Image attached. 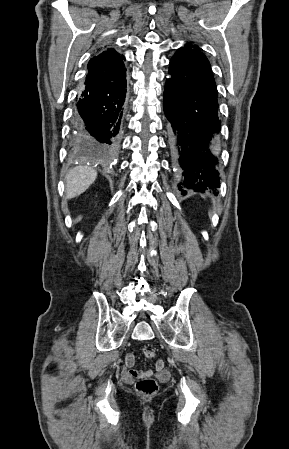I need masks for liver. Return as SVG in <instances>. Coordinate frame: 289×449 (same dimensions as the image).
<instances>
[{"label": "liver", "mask_w": 289, "mask_h": 449, "mask_svg": "<svg viewBox=\"0 0 289 449\" xmlns=\"http://www.w3.org/2000/svg\"><path fill=\"white\" fill-rule=\"evenodd\" d=\"M96 178V170L87 166L74 167L66 176V198H75L84 193Z\"/></svg>", "instance_id": "liver-1"}]
</instances>
